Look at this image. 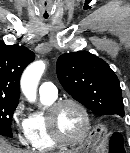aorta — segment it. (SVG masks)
<instances>
[{"label": "aorta", "instance_id": "1", "mask_svg": "<svg viewBox=\"0 0 130 153\" xmlns=\"http://www.w3.org/2000/svg\"><path fill=\"white\" fill-rule=\"evenodd\" d=\"M45 70L44 61H35L31 63L23 72L21 77V90L27 100L31 103L36 101L37 86Z\"/></svg>", "mask_w": 130, "mask_h": 153}]
</instances>
